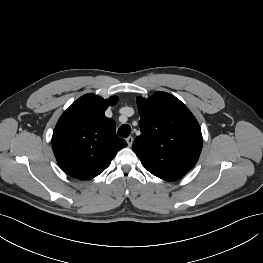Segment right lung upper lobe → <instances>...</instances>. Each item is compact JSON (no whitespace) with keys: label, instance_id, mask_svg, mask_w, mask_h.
Here are the masks:
<instances>
[{"label":"right lung upper lobe","instance_id":"1","mask_svg":"<svg viewBox=\"0 0 263 263\" xmlns=\"http://www.w3.org/2000/svg\"><path fill=\"white\" fill-rule=\"evenodd\" d=\"M94 94L77 99L61 116L52 136V148L60 167L70 176L91 179L102 173L127 146L116 135V124L104 114L117 103Z\"/></svg>","mask_w":263,"mask_h":263}]
</instances>
